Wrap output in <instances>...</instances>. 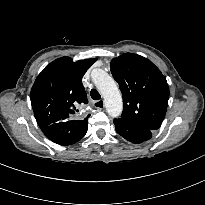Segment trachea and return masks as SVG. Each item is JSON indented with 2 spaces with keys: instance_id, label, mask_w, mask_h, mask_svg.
Listing matches in <instances>:
<instances>
[{
  "instance_id": "1",
  "label": "trachea",
  "mask_w": 205,
  "mask_h": 205,
  "mask_svg": "<svg viewBox=\"0 0 205 205\" xmlns=\"http://www.w3.org/2000/svg\"><path fill=\"white\" fill-rule=\"evenodd\" d=\"M90 95H91V98H92L93 100H99V99L101 98L100 94H99L98 91L95 90V89H92V90L90 91Z\"/></svg>"
}]
</instances>
